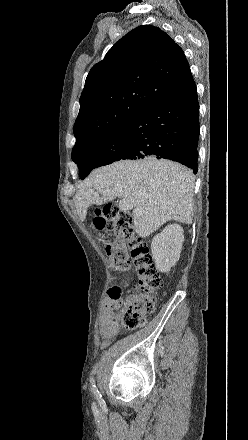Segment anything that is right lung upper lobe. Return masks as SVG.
Segmentation results:
<instances>
[{
	"mask_svg": "<svg viewBox=\"0 0 248 440\" xmlns=\"http://www.w3.org/2000/svg\"><path fill=\"white\" fill-rule=\"evenodd\" d=\"M183 50L164 31L142 25L90 70L74 124L73 149L126 125L153 103L193 88Z\"/></svg>",
	"mask_w": 248,
	"mask_h": 440,
	"instance_id": "1",
	"label": "right lung upper lobe"
}]
</instances>
